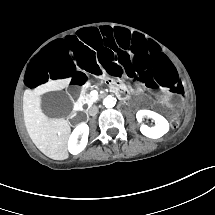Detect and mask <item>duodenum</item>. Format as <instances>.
<instances>
[{
    "mask_svg": "<svg viewBox=\"0 0 215 215\" xmlns=\"http://www.w3.org/2000/svg\"><path fill=\"white\" fill-rule=\"evenodd\" d=\"M111 89L120 100H127L130 97L129 92L122 88L112 87Z\"/></svg>",
    "mask_w": 215,
    "mask_h": 215,
    "instance_id": "1",
    "label": "duodenum"
}]
</instances>
